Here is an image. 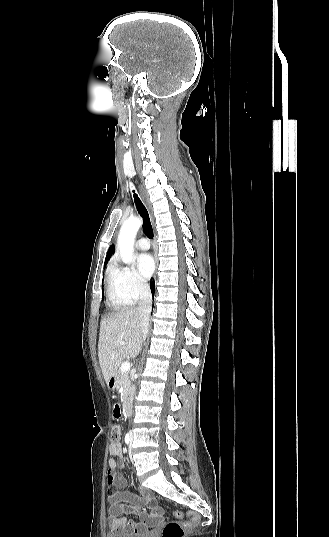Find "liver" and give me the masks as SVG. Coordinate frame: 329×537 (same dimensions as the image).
<instances>
[{
  "label": "liver",
  "instance_id": "obj_1",
  "mask_svg": "<svg viewBox=\"0 0 329 537\" xmlns=\"http://www.w3.org/2000/svg\"><path fill=\"white\" fill-rule=\"evenodd\" d=\"M141 317L136 309L113 313L100 326L98 358L106 383L117 374L122 361L138 355L142 345ZM121 342L124 344L121 345Z\"/></svg>",
  "mask_w": 329,
  "mask_h": 537
}]
</instances>
